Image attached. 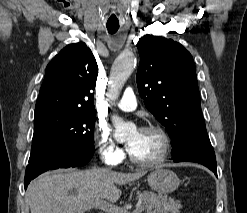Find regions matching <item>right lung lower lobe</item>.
Here are the masks:
<instances>
[{
	"mask_svg": "<svg viewBox=\"0 0 247 213\" xmlns=\"http://www.w3.org/2000/svg\"><path fill=\"white\" fill-rule=\"evenodd\" d=\"M94 152L82 151L70 153L60 146L53 147L41 155L29 159L25 173V189L32 179L39 174L57 168L84 166L91 159Z\"/></svg>",
	"mask_w": 247,
	"mask_h": 213,
	"instance_id": "1",
	"label": "right lung lower lobe"
}]
</instances>
